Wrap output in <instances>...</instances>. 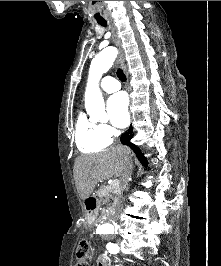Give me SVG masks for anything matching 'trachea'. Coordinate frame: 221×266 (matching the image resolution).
<instances>
[{
	"mask_svg": "<svg viewBox=\"0 0 221 266\" xmlns=\"http://www.w3.org/2000/svg\"><path fill=\"white\" fill-rule=\"evenodd\" d=\"M98 24H100L101 26L106 27V26H107V21H105V20L98 21ZM116 74H117V77H118L122 82H125V81H126V76H125L123 70H121L120 68H118Z\"/></svg>",
	"mask_w": 221,
	"mask_h": 266,
	"instance_id": "1",
	"label": "trachea"
}]
</instances>
